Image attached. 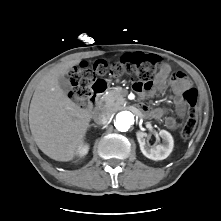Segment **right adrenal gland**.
Masks as SVG:
<instances>
[{
	"label": "right adrenal gland",
	"mask_w": 221,
	"mask_h": 221,
	"mask_svg": "<svg viewBox=\"0 0 221 221\" xmlns=\"http://www.w3.org/2000/svg\"><path fill=\"white\" fill-rule=\"evenodd\" d=\"M90 127H97V126H96V125H94V124H91V125H90Z\"/></svg>",
	"instance_id": "2a0ac1e0"
}]
</instances>
